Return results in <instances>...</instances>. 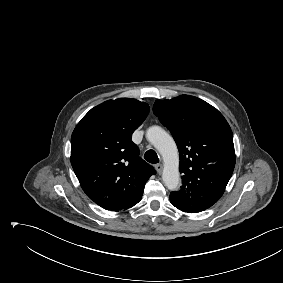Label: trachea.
Instances as JSON below:
<instances>
[{"label":"trachea","mask_w":283,"mask_h":283,"mask_svg":"<svg viewBox=\"0 0 283 283\" xmlns=\"http://www.w3.org/2000/svg\"><path fill=\"white\" fill-rule=\"evenodd\" d=\"M144 158L146 161H148L149 163L152 164H156L159 162V158L157 156V153L154 150H148L145 155Z\"/></svg>","instance_id":"obj_1"}]
</instances>
